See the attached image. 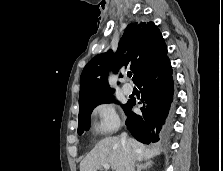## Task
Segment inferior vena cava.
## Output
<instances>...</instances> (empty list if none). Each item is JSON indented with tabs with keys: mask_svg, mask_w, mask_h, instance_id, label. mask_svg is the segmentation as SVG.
<instances>
[{
	"mask_svg": "<svg viewBox=\"0 0 223 171\" xmlns=\"http://www.w3.org/2000/svg\"><path fill=\"white\" fill-rule=\"evenodd\" d=\"M121 142L125 146V166L124 171H134L135 158L127 140V134L124 132L121 134Z\"/></svg>",
	"mask_w": 223,
	"mask_h": 171,
	"instance_id": "1",
	"label": "inferior vena cava"
}]
</instances>
